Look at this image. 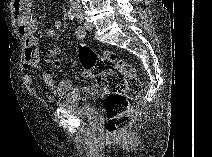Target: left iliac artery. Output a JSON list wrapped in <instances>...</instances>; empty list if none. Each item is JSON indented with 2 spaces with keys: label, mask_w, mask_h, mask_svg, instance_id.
<instances>
[{
  "label": "left iliac artery",
  "mask_w": 212,
  "mask_h": 157,
  "mask_svg": "<svg viewBox=\"0 0 212 157\" xmlns=\"http://www.w3.org/2000/svg\"><path fill=\"white\" fill-rule=\"evenodd\" d=\"M77 19H78L79 23H81V21L83 20V15L78 14ZM76 36L78 39H83L85 37V30L80 25L76 28Z\"/></svg>",
  "instance_id": "44dca946"
}]
</instances>
